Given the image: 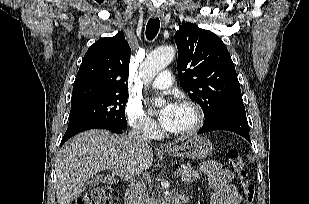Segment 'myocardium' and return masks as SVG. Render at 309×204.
I'll use <instances>...</instances> for the list:
<instances>
[{"label":"myocardium","instance_id":"myocardium-1","mask_svg":"<svg viewBox=\"0 0 309 204\" xmlns=\"http://www.w3.org/2000/svg\"><path fill=\"white\" fill-rule=\"evenodd\" d=\"M179 105L191 108L194 111L195 117H196L195 122L190 128H188L186 130H182V131H170V130H168V133L172 136H175V137L192 136V135L196 134L197 132H199L201 130V128L203 127L204 122H205V113H204L202 107L192 100H182L179 103Z\"/></svg>","mask_w":309,"mask_h":204}]
</instances>
